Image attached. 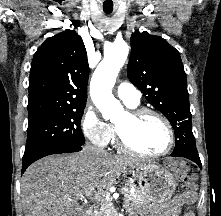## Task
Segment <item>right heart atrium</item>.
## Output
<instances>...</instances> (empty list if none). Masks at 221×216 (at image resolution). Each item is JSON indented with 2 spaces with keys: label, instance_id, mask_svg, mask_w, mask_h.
<instances>
[{
  "label": "right heart atrium",
  "instance_id": "d8ad5b80",
  "mask_svg": "<svg viewBox=\"0 0 221 216\" xmlns=\"http://www.w3.org/2000/svg\"><path fill=\"white\" fill-rule=\"evenodd\" d=\"M80 127L86 140L97 147H105L113 136V128L105 122L99 112L88 105L83 111L80 120Z\"/></svg>",
  "mask_w": 221,
  "mask_h": 216
}]
</instances>
